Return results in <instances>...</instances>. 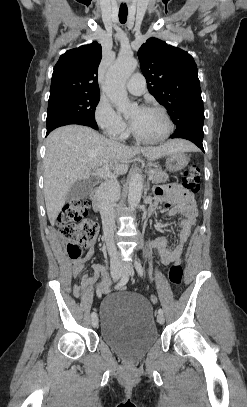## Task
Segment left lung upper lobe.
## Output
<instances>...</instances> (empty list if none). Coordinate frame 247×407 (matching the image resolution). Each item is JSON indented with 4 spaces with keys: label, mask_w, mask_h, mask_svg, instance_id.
Returning a JSON list of instances; mask_svg holds the SVG:
<instances>
[{
    "label": "left lung upper lobe",
    "mask_w": 247,
    "mask_h": 407,
    "mask_svg": "<svg viewBox=\"0 0 247 407\" xmlns=\"http://www.w3.org/2000/svg\"><path fill=\"white\" fill-rule=\"evenodd\" d=\"M149 92L167 110L176 127L192 119L204 120L200 82L191 55L150 38L139 51Z\"/></svg>",
    "instance_id": "left-lung-upper-lobe-1"
}]
</instances>
